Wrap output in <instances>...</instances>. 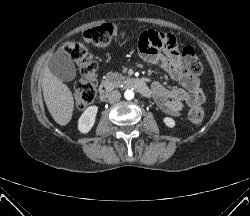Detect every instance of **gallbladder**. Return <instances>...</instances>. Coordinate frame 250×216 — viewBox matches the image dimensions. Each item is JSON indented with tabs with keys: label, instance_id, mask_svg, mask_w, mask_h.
<instances>
[{
	"label": "gallbladder",
	"instance_id": "gallbladder-1",
	"mask_svg": "<svg viewBox=\"0 0 250 216\" xmlns=\"http://www.w3.org/2000/svg\"><path fill=\"white\" fill-rule=\"evenodd\" d=\"M49 70L62 81H72L76 77L75 65L64 53L57 52L48 62Z\"/></svg>",
	"mask_w": 250,
	"mask_h": 216
}]
</instances>
